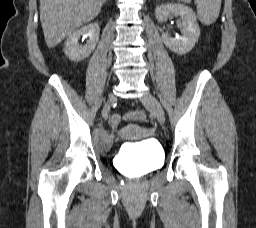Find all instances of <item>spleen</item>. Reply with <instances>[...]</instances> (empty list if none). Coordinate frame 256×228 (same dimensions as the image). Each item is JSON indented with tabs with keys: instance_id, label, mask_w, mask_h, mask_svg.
Segmentation results:
<instances>
[{
	"instance_id": "obj_1",
	"label": "spleen",
	"mask_w": 256,
	"mask_h": 228,
	"mask_svg": "<svg viewBox=\"0 0 256 228\" xmlns=\"http://www.w3.org/2000/svg\"><path fill=\"white\" fill-rule=\"evenodd\" d=\"M197 4V15L204 25L213 24L220 13L221 0H194Z\"/></svg>"
}]
</instances>
